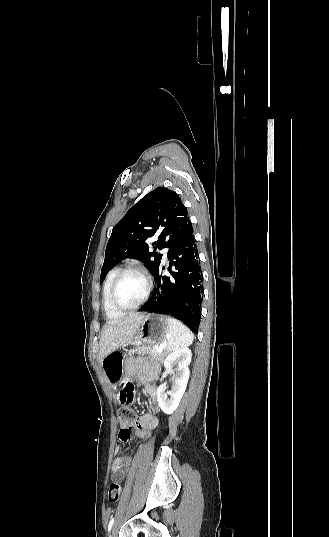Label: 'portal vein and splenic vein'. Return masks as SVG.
<instances>
[{
	"instance_id": "1",
	"label": "portal vein and splenic vein",
	"mask_w": 329,
	"mask_h": 537,
	"mask_svg": "<svg viewBox=\"0 0 329 537\" xmlns=\"http://www.w3.org/2000/svg\"><path fill=\"white\" fill-rule=\"evenodd\" d=\"M155 349H156L157 352H161L163 350V347L162 346H156Z\"/></svg>"
}]
</instances>
